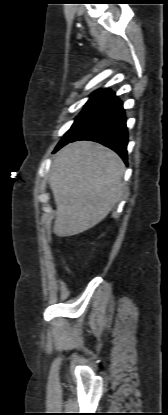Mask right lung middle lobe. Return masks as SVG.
Wrapping results in <instances>:
<instances>
[{"label":"right lung middle lobe","instance_id":"right-lung-middle-lobe-1","mask_svg":"<svg viewBox=\"0 0 168 415\" xmlns=\"http://www.w3.org/2000/svg\"><path fill=\"white\" fill-rule=\"evenodd\" d=\"M97 97H98V96H96V95H95V96H92V97L89 99V101L87 102V104H88L89 102L93 101L94 99H96ZM87 104H86V105H87Z\"/></svg>","mask_w":168,"mask_h":415}]
</instances>
